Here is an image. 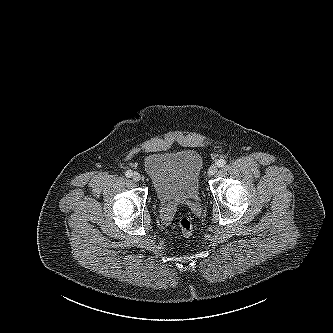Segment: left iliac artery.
I'll return each mask as SVG.
<instances>
[{
	"label": "left iliac artery",
	"mask_w": 333,
	"mask_h": 333,
	"mask_svg": "<svg viewBox=\"0 0 333 333\" xmlns=\"http://www.w3.org/2000/svg\"><path fill=\"white\" fill-rule=\"evenodd\" d=\"M218 167H223L226 164V161L224 159H220L216 162Z\"/></svg>",
	"instance_id": "44dca946"
}]
</instances>
